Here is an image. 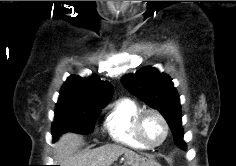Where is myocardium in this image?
<instances>
[{
	"mask_svg": "<svg viewBox=\"0 0 236 166\" xmlns=\"http://www.w3.org/2000/svg\"><path fill=\"white\" fill-rule=\"evenodd\" d=\"M148 114H153L154 116H156L161 121L163 128H164L163 138L156 144L148 143L142 134V123H143L144 118ZM134 129H135V134H136L138 140L146 148H149V149H153V148H157V147L161 146L166 141V139L168 138V135H169V124H168L166 118L159 110L154 109V108L142 109L140 111V113L135 118Z\"/></svg>",
	"mask_w": 236,
	"mask_h": 166,
	"instance_id": "myocardium-1",
	"label": "myocardium"
}]
</instances>
